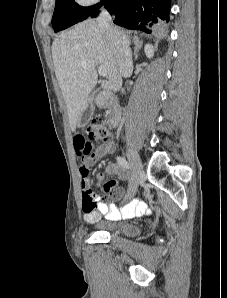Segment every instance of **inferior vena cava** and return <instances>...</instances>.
Segmentation results:
<instances>
[{
	"label": "inferior vena cava",
	"mask_w": 227,
	"mask_h": 298,
	"mask_svg": "<svg viewBox=\"0 0 227 298\" xmlns=\"http://www.w3.org/2000/svg\"><path fill=\"white\" fill-rule=\"evenodd\" d=\"M100 29L112 36L115 42V52L118 62V71L122 77L128 75L133 69L132 53L126 41L119 35L111 23V16L107 10L102 9L97 17Z\"/></svg>",
	"instance_id": "1"
}]
</instances>
